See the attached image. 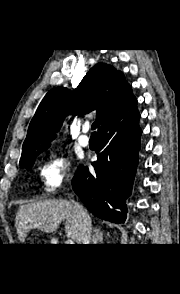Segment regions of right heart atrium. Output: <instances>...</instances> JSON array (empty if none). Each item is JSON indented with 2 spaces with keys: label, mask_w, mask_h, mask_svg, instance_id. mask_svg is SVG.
I'll list each match as a JSON object with an SVG mask.
<instances>
[{
  "label": "right heart atrium",
  "mask_w": 180,
  "mask_h": 294,
  "mask_svg": "<svg viewBox=\"0 0 180 294\" xmlns=\"http://www.w3.org/2000/svg\"><path fill=\"white\" fill-rule=\"evenodd\" d=\"M69 158L61 152L51 153L39 167L42 189L47 194L56 192L69 180Z\"/></svg>",
  "instance_id": "right-heart-atrium-1"
}]
</instances>
